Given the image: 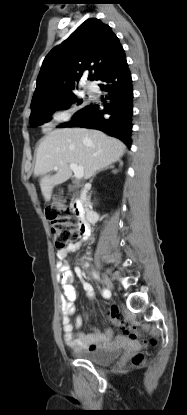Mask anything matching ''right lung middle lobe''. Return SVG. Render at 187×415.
<instances>
[{"mask_svg": "<svg viewBox=\"0 0 187 415\" xmlns=\"http://www.w3.org/2000/svg\"><path fill=\"white\" fill-rule=\"evenodd\" d=\"M83 101L78 99L74 92L65 95L60 101L47 104L31 110L29 118L30 125L37 127L45 122L50 121L51 115L58 109H68L72 104L77 103L80 105Z\"/></svg>", "mask_w": 187, "mask_h": 415, "instance_id": "1", "label": "right lung middle lobe"}]
</instances>
